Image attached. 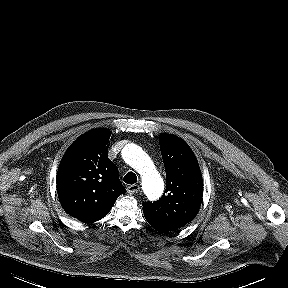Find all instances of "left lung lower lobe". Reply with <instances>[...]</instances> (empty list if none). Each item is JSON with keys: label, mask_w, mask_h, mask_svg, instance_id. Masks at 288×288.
<instances>
[{"label": "left lung lower lobe", "mask_w": 288, "mask_h": 288, "mask_svg": "<svg viewBox=\"0 0 288 288\" xmlns=\"http://www.w3.org/2000/svg\"><path fill=\"white\" fill-rule=\"evenodd\" d=\"M145 218L147 220V222L153 227L155 228L156 230L160 231V232H169V231H175V229L167 226V225H164V224H161L159 222H157L156 220L152 219L151 217H149L147 214H145Z\"/></svg>", "instance_id": "obj_1"}]
</instances>
